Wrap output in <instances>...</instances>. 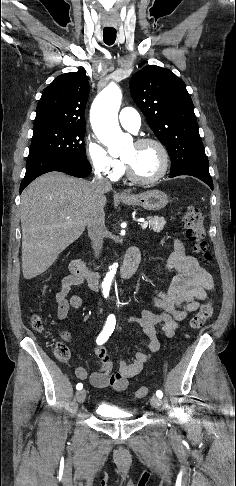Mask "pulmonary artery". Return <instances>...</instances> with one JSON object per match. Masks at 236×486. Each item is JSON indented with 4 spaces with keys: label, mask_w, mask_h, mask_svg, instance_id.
I'll return each instance as SVG.
<instances>
[{
    "label": "pulmonary artery",
    "mask_w": 236,
    "mask_h": 486,
    "mask_svg": "<svg viewBox=\"0 0 236 486\" xmlns=\"http://www.w3.org/2000/svg\"><path fill=\"white\" fill-rule=\"evenodd\" d=\"M119 122L124 129L137 132L140 128L141 119L134 108L125 107L120 111Z\"/></svg>",
    "instance_id": "obj_1"
}]
</instances>
